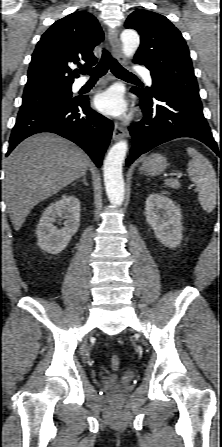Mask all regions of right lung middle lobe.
<instances>
[{
    "label": "right lung middle lobe",
    "instance_id": "obj_1",
    "mask_svg": "<svg viewBox=\"0 0 222 447\" xmlns=\"http://www.w3.org/2000/svg\"><path fill=\"white\" fill-rule=\"evenodd\" d=\"M75 98L76 97H72L71 87L23 94V101L18 116L31 114L52 106L68 103Z\"/></svg>",
    "mask_w": 222,
    "mask_h": 447
}]
</instances>
